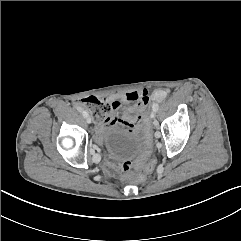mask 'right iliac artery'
I'll use <instances>...</instances> for the list:
<instances>
[{
	"mask_svg": "<svg viewBox=\"0 0 241 241\" xmlns=\"http://www.w3.org/2000/svg\"><path fill=\"white\" fill-rule=\"evenodd\" d=\"M82 114H83L84 117H87V116H88V113L85 112V111H83Z\"/></svg>",
	"mask_w": 241,
	"mask_h": 241,
	"instance_id": "82829eb1",
	"label": "right iliac artery"
}]
</instances>
